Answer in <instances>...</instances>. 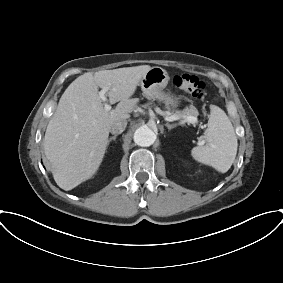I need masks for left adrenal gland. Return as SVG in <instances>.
<instances>
[{
  "label": "left adrenal gland",
  "mask_w": 283,
  "mask_h": 283,
  "mask_svg": "<svg viewBox=\"0 0 283 283\" xmlns=\"http://www.w3.org/2000/svg\"><path fill=\"white\" fill-rule=\"evenodd\" d=\"M178 124H169V123H166L165 126L168 128V130H171L173 128H175Z\"/></svg>",
  "instance_id": "a2214340"
}]
</instances>
